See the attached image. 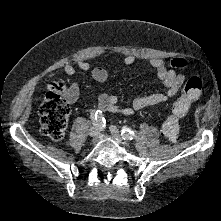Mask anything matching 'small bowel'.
Returning a JSON list of instances; mask_svg holds the SVG:
<instances>
[{
  "label": "small bowel",
  "mask_w": 221,
  "mask_h": 221,
  "mask_svg": "<svg viewBox=\"0 0 221 221\" xmlns=\"http://www.w3.org/2000/svg\"><path fill=\"white\" fill-rule=\"evenodd\" d=\"M135 60L134 55L128 54L124 58V64L131 65ZM77 66L81 70L90 71L92 78L98 83H104L108 78V73L104 68L93 67L87 61L80 60L77 62ZM149 66L156 70L158 79L165 87L164 92L138 96L133 100L131 106H122L119 104L116 96L102 93L98 97V108L100 111L109 113L121 112L124 115L130 116L135 111L158 106L176 96L186 80L185 75L167 67L164 60L160 58L150 59ZM63 70L67 75H73L76 72L75 67L71 64H66ZM50 76H52V74ZM77 92L78 86L73 84L69 96L71 101L75 99Z\"/></svg>",
  "instance_id": "small-bowel-1"
}]
</instances>
